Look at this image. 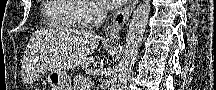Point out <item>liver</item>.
Here are the masks:
<instances>
[{
    "instance_id": "1",
    "label": "liver",
    "mask_w": 216,
    "mask_h": 90,
    "mask_svg": "<svg viewBox=\"0 0 216 90\" xmlns=\"http://www.w3.org/2000/svg\"><path fill=\"white\" fill-rule=\"evenodd\" d=\"M64 38L63 64L67 70L87 68L91 62H94V58L93 56L90 58V54L99 46L100 36H96L95 32L69 26Z\"/></svg>"
}]
</instances>
